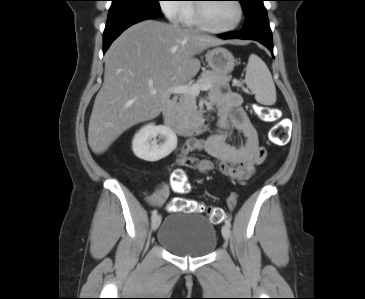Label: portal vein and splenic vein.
Returning a JSON list of instances; mask_svg holds the SVG:
<instances>
[{"label":"portal vein and splenic vein","mask_w":365,"mask_h":299,"mask_svg":"<svg viewBox=\"0 0 365 299\" xmlns=\"http://www.w3.org/2000/svg\"><path fill=\"white\" fill-rule=\"evenodd\" d=\"M211 88L210 84H194V85H178L173 87L170 92L174 94H190L193 96H197L200 93V90L207 91ZM157 91L155 89L151 90V94H156Z\"/></svg>","instance_id":"portal-vein-and-splenic-vein-1"}]
</instances>
